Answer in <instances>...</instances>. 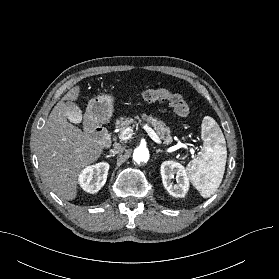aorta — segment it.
Returning <instances> with one entry per match:
<instances>
[{
	"instance_id": "obj_1",
	"label": "aorta",
	"mask_w": 279,
	"mask_h": 279,
	"mask_svg": "<svg viewBox=\"0 0 279 279\" xmlns=\"http://www.w3.org/2000/svg\"><path fill=\"white\" fill-rule=\"evenodd\" d=\"M135 162H147L149 160V151L146 147H137L133 152Z\"/></svg>"
}]
</instances>
